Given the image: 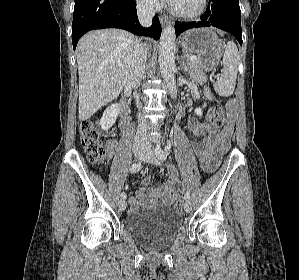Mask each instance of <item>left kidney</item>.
I'll return each instance as SVG.
<instances>
[{
    "label": "left kidney",
    "instance_id": "1",
    "mask_svg": "<svg viewBox=\"0 0 299 280\" xmlns=\"http://www.w3.org/2000/svg\"><path fill=\"white\" fill-rule=\"evenodd\" d=\"M194 112H195V114L197 115V116H202V109L201 108H196L195 110H194Z\"/></svg>",
    "mask_w": 299,
    "mask_h": 280
}]
</instances>
